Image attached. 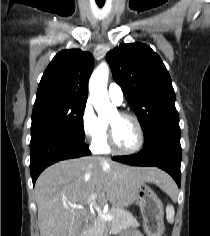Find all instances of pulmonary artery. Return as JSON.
<instances>
[{"label":"pulmonary artery","instance_id":"e3ab8cb5","mask_svg":"<svg viewBox=\"0 0 210 236\" xmlns=\"http://www.w3.org/2000/svg\"><path fill=\"white\" fill-rule=\"evenodd\" d=\"M108 96L110 100L116 105H120L124 99L123 91L121 87L116 83H112L109 85Z\"/></svg>","mask_w":210,"mask_h":236}]
</instances>
